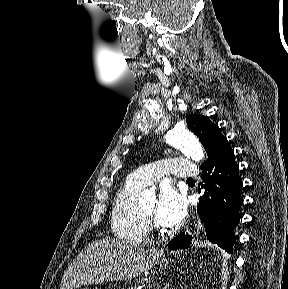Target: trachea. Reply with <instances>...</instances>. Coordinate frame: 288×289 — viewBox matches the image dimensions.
Listing matches in <instances>:
<instances>
[{"label":"trachea","mask_w":288,"mask_h":289,"mask_svg":"<svg viewBox=\"0 0 288 289\" xmlns=\"http://www.w3.org/2000/svg\"><path fill=\"white\" fill-rule=\"evenodd\" d=\"M188 180H193L192 178H189Z\"/></svg>","instance_id":"1"}]
</instances>
